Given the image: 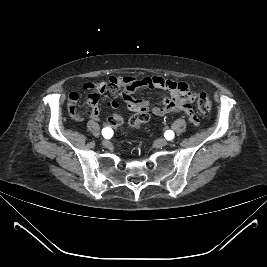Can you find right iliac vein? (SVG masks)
Segmentation results:
<instances>
[{
  "label": "right iliac vein",
  "instance_id": "63e3f726",
  "mask_svg": "<svg viewBox=\"0 0 267 267\" xmlns=\"http://www.w3.org/2000/svg\"><path fill=\"white\" fill-rule=\"evenodd\" d=\"M110 144H111V143H110L109 140H106V139H105V140L102 141V145H103L104 147H109Z\"/></svg>",
  "mask_w": 267,
  "mask_h": 267
}]
</instances>
